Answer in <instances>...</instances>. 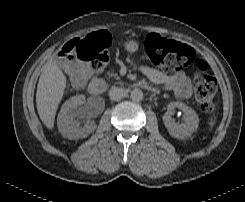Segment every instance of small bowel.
<instances>
[{
  "mask_svg": "<svg viewBox=\"0 0 245 202\" xmlns=\"http://www.w3.org/2000/svg\"><path fill=\"white\" fill-rule=\"evenodd\" d=\"M102 33L110 36V32L107 30L102 31ZM139 71L151 83L162 85L166 90L172 91L180 99H187L192 95L191 80L184 72L165 74L159 69L145 65L140 66Z\"/></svg>",
  "mask_w": 245,
  "mask_h": 202,
  "instance_id": "1",
  "label": "small bowel"
}]
</instances>
